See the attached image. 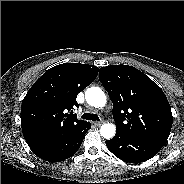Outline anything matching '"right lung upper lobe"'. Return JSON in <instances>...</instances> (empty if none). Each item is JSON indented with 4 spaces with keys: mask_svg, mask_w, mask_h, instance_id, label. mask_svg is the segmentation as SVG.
Returning a JSON list of instances; mask_svg holds the SVG:
<instances>
[{
    "mask_svg": "<svg viewBox=\"0 0 184 184\" xmlns=\"http://www.w3.org/2000/svg\"><path fill=\"white\" fill-rule=\"evenodd\" d=\"M98 67L64 63L47 70L30 88L21 106V127L30 148L71 138L90 123L77 119V94L95 80Z\"/></svg>",
    "mask_w": 184,
    "mask_h": 184,
    "instance_id": "right-lung-upper-lobe-1",
    "label": "right lung upper lobe"
}]
</instances>
